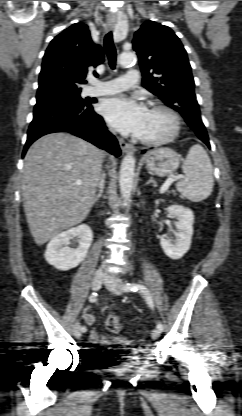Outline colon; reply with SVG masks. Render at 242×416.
I'll return each mask as SVG.
<instances>
[{"label": "colon", "instance_id": "1", "mask_svg": "<svg viewBox=\"0 0 242 416\" xmlns=\"http://www.w3.org/2000/svg\"><path fill=\"white\" fill-rule=\"evenodd\" d=\"M106 329L114 334L120 333L123 330V325L121 320L114 315L107 317L105 321Z\"/></svg>", "mask_w": 242, "mask_h": 416}]
</instances>
